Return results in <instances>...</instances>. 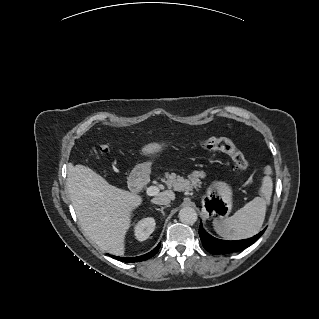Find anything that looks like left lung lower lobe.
<instances>
[{
	"instance_id": "1",
	"label": "left lung lower lobe",
	"mask_w": 319,
	"mask_h": 319,
	"mask_svg": "<svg viewBox=\"0 0 319 319\" xmlns=\"http://www.w3.org/2000/svg\"><path fill=\"white\" fill-rule=\"evenodd\" d=\"M265 230L261 231L259 234L252 238L237 241H226L214 238L208 234L203 227H199V236L202 241L203 247L211 254H227L236 251L243 250L253 244Z\"/></svg>"
}]
</instances>
